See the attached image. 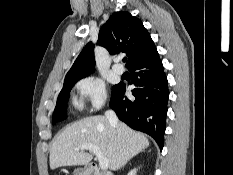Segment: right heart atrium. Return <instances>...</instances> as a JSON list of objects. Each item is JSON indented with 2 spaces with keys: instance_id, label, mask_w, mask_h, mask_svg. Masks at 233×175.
<instances>
[{
  "instance_id": "obj_1",
  "label": "right heart atrium",
  "mask_w": 233,
  "mask_h": 175,
  "mask_svg": "<svg viewBox=\"0 0 233 175\" xmlns=\"http://www.w3.org/2000/svg\"><path fill=\"white\" fill-rule=\"evenodd\" d=\"M75 89L83 104H87L92 111L99 110L106 102L107 90L105 83L98 77L86 76L80 79Z\"/></svg>"
}]
</instances>
